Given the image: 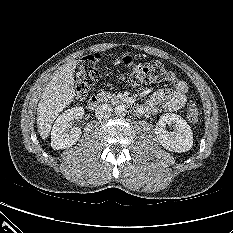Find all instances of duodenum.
Returning <instances> with one entry per match:
<instances>
[{
	"label": "duodenum",
	"instance_id": "410a0bca",
	"mask_svg": "<svg viewBox=\"0 0 233 233\" xmlns=\"http://www.w3.org/2000/svg\"><path fill=\"white\" fill-rule=\"evenodd\" d=\"M116 102L120 105H123V106H126L128 107L129 109H131L132 111H134L135 113L137 114H144L145 113V109L143 106H139L137 105L135 102L129 100V99H126V98H118L116 99ZM103 101L100 97L94 95V96H91L87 102V108L89 110H97L101 107Z\"/></svg>",
	"mask_w": 233,
	"mask_h": 233
}]
</instances>
